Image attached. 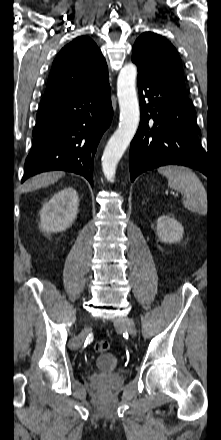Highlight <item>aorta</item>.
Segmentation results:
<instances>
[{
    "instance_id": "obj_1",
    "label": "aorta",
    "mask_w": 221,
    "mask_h": 440,
    "mask_svg": "<svg viewBox=\"0 0 221 440\" xmlns=\"http://www.w3.org/2000/svg\"><path fill=\"white\" fill-rule=\"evenodd\" d=\"M137 67L126 64L117 79V96L120 108V122L109 139L102 156L105 177L112 181L117 164L133 139L140 121L139 102L136 93Z\"/></svg>"
}]
</instances>
